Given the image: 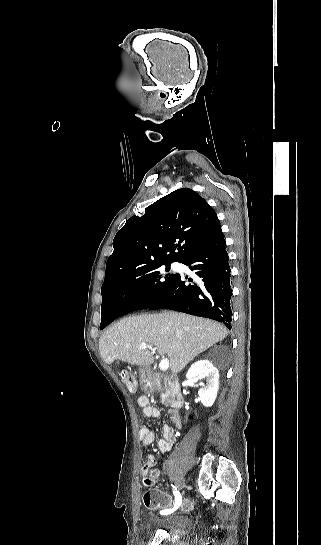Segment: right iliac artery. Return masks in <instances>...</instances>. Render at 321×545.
Listing matches in <instances>:
<instances>
[{"label":"right iliac artery","mask_w":321,"mask_h":545,"mask_svg":"<svg viewBox=\"0 0 321 545\" xmlns=\"http://www.w3.org/2000/svg\"><path fill=\"white\" fill-rule=\"evenodd\" d=\"M172 488H173V494H174L175 500H176V505H175V507H174L172 510H170L169 512H171V511L175 510L176 508H178L179 505H180V503H181V500H182V497H181L179 491L177 490V488H176L174 485H172Z\"/></svg>","instance_id":"obj_1"}]
</instances>
